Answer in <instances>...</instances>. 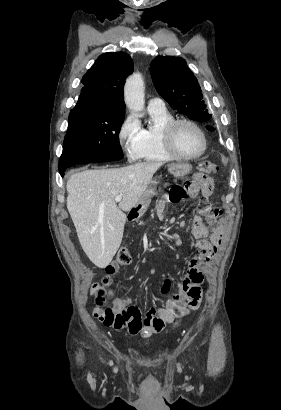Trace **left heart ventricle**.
<instances>
[{
  "instance_id": "left-heart-ventricle-1",
  "label": "left heart ventricle",
  "mask_w": 281,
  "mask_h": 410,
  "mask_svg": "<svg viewBox=\"0 0 281 410\" xmlns=\"http://www.w3.org/2000/svg\"><path fill=\"white\" fill-rule=\"evenodd\" d=\"M174 143L185 155L197 154L203 145L200 133L188 124L179 125L174 132Z\"/></svg>"
}]
</instances>
